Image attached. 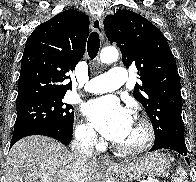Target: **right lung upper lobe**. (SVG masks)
Listing matches in <instances>:
<instances>
[{
    "instance_id": "cb5924a9",
    "label": "right lung upper lobe",
    "mask_w": 196,
    "mask_h": 182,
    "mask_svg": "<svg viewBox=\"0 0 196 182\" xmlns=\"http://www.w3.org/2000/svg\"><path fill=\"white\" fill-rule=\"evenodd\" d=\"M88 35V16L74 9L39 25L25 44L16 105L72 89L67 73L81 60Z\"/></svg>"
}]
</instances>
